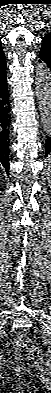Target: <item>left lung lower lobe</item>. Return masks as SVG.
<instances>
[{
  "mask_svg": "<svg viewBox=\"0 0 51 393\" xmlns=\"http://www.w3.org/2000/svg\"><path fill=\"white\" fill-rule=\"evenodd\" d=\"M40 58H41V60H39V62H44V63H46L47 66H48V67L50 68V70H51V58H50L47 54H44L43 52H40ZM45 148H46V155H48L49 153H51V137H49V138L46 140Z\"/></svg>",
  "mask_w": 51,
  "mask_h": 393,
  "instance_id": "0a47b994",
  "label": "left lung lower lobe"
}]
</instances>
